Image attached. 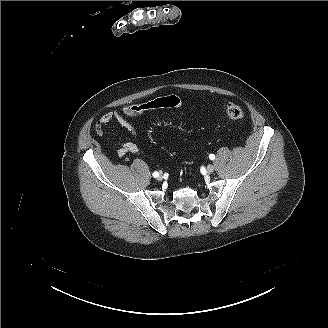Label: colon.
<instances>
[{
    "mask_svg": "<svg viewBox=\"0 0 328 328\" xmlns=\"http://www.w3.org/2000/svg\"><path fill=\"white\" fill-rule=\"evenodd\" d=\"M179 103L180 100L175 95L158 97L146 102L136 103L126 107L124 110V115L127 118H133L144 112L154 109L177 107ZM226 114L232 120H239L244 117L243 109L236 104H228L226 107Z\"/></svg>",
    "mask_w": 328,
    "mask_h": 328,
    "instance_id": "1",
    "label": "colon"
}]
</instances>
